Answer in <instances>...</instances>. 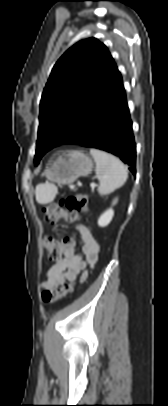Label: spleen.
<instances>
[{
  "label": "spleen",
  "instance_id": "spleen-1",
  "mask_svg": "<svg viewBox=\"0 0 168 406\" xmlns=\"http://www.w3.org/2000/svg\"><path fill=\"white\" fill-rule=\"evenodd\" d=\"M90 154L96 163L95 173L100 182V195L110 194L126 182L127 167L117 157L98 149H91ZM56 193L57 187L48 182L36 187V198L40 203L53 201Z\"/></svg>",
  "mask_w": 168,
  "mask_h": 406
}]
</instances>
